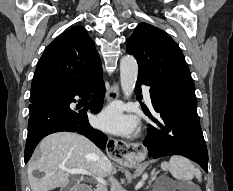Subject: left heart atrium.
Here are the masks:
<instances>
[{
  "label": "left heart atrium",
  "instance_id": "39dd6f15",
  "mask_svg": "<svg viewBox=\"0 0 233 191\" xmlns=\"http://www.w3.org/2000/svg\"><path fill=\"white\" fill-rule=\"evenodd\" d=\"M95 125L107 132L119 135L131 133L136 127V119L123 113L119 106H111L96 116Z\"/></svg>",
  "mask_w": 233,
  "mask_h": 191
}]
</instances>
